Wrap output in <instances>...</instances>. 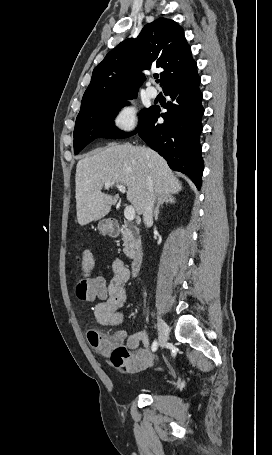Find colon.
<instances>
[{
	"label": "colon",
	"instance_id": "1",
	"mask_svg": "<svg viewBox=\"0 0 272 455\" xmlns=\"http://www.w3.org/2000/svg\"><path fill=\"white\" fill-rule=\"evenodd\" d=\"M82 271L83 278L76 286V295L80 300L90 301L95 299H103L106 296V280L102 275H94L95 261L89 251H84L78 258ZM90 344L107 353L110 363L119 371H124L127 365L128 352L125 346L116 342L114 339L106 338L97 331L88 333Z\"/></svg>",
	"mask_w": 272,
	"mask_h": 455
}]
</instances>
